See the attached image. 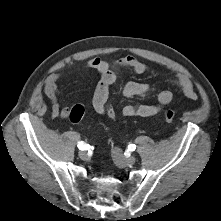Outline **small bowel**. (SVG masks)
<instances>
[{
  "label": "small bowel",
  "instance_id": "obj_1",
  "mask_svg": "<svg viewBox=\"0 0 221 221\" xmlns=\"http://www.w3.org/2000/svg\"><path fill=\"white\" fill-rule=\"evenodd\" d=\"M86 69L96 71L100 76L93 96V107L96 112L105 114V105L109 102L110 88L116 82V71L128 69L134 74H143L147 66L136 57L128 55L114 62H109L99 57H93L87 60ZM60 79V73H53L46 80L44 85V92L51 101V115L53 118H67L70 112L69 107H61L58 101L59 89L57 83ZM173 83L180 89L186 98L191 100L196 99V92L190 80L184 74H177ZM149 91L150 87L148 84L134 81L127 82L122 89V93L126 97H143L146 96ZM172 99L173 93L170 90H162L157 96L156 104L126 105L122 108V114L125 117H152L169 105Z\"/></svg>",
  "mask_w": 221,
  "mask_h": 221
}]
</instances>
